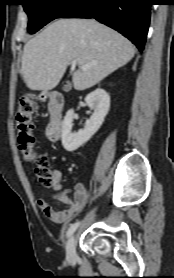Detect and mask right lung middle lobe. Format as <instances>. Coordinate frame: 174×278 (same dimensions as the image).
<instances>
[{"instance_id":"1","label":"right lung middle lobe","mask_w":174,"mask_h":278,"mask_svg":"<svg viewBox=\"0 0 174 278\" xmlns=\"http://www.w3.org/2000/svg\"><path fill=\"white\" fill-rule=\"evenodd\" d=\"M78 0H23L29 16L28 32L35 33L50 21L61 17Z\"/></svg>"}]
</instances>
